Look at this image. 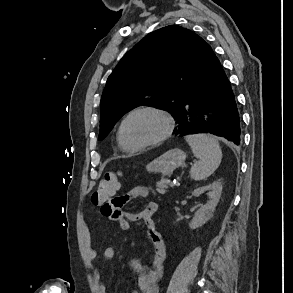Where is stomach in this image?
<instances>
[{
  "mask_svg": "<svg viewBox=\"0 0 293 293\" xmlns=\"http://www.w3.org/2000/svg\"><path fill=\"white\" fill-rule=\"evenodd\" d=\"M185 158V153L179 148L170 149L148 163L146 169L149 172L161 173L163 176L170 175L176 168L184 165Z\"/></svg>",
  "mask_w": 293,
  "mask_h": 293,
  "instance_id": "0dacf381",
  "label": "stomach"
}]
</instances>
